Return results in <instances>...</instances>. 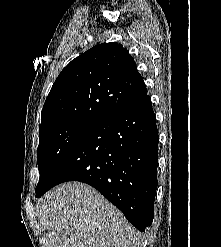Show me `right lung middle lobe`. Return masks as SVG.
I'll return each instance as SVG.
<instances>
[{"label": "right lung middle lobe", "instance_id": "1", "mask_svg": "<svg viewBox=\"0 0 221 247\" xmlns=\"http://www.w3.org/2000/svg\"><path fill=\"white\" fill-rule=\"evenodd\" d=\"M95 126L90 123H68L39 131L37 163L40 180L36 194L50 180L71 149Z\"/></svg>", "mask_w": 221, "mask_h": 247}]
</instances>
